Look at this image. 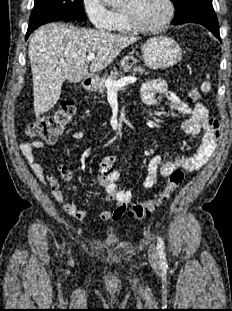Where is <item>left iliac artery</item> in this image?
Returning a JSON list of instances; mask_svg holds the SVG:
<instances>
[{"label": "left iliac artery", "mask_w": 232, "mask_h": 311, "mask_svg": "<svg viewBox=\"0 0 232 311\" xmlns=\"http://www.w3.org/2000/svg\"><path fill=\"white\" fill-rule=\"evenodd\" d=\"M157 250L160 257V262L162 265H166V254H165V244L161 237H158L157 239Z\"/></svg>", "instance_id": "left-iliac-artery-1"}]
</instances>
